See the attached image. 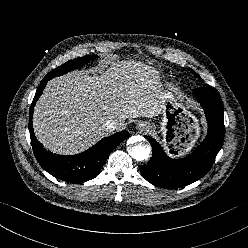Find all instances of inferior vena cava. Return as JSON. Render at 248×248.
I'll return each mask as SVG.
<instances>
[{"label": "inferior vena cava", "mask_w": 248, "mask_h": 248, "mask_svg": "<svg viewBox=\"0 0 248 248\" xmlns=\"http://www.w3.org/2000/svg\"><path fill=\"white\" fill-rule=\"evenodd\" d=\"M104 128L107 131H114L117 128V122L114 120H108L105 124H104Z\"/></svg>", "instance_id": "inferior-vena-cava-1"}]
</instances>
